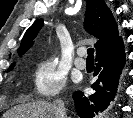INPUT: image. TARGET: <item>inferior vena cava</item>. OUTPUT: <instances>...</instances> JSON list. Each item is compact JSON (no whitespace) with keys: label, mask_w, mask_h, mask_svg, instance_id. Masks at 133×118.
<instances>
[{"label":"inferior vena cava","mask_w":133,"mask_h":118,"mask_svg":"<svg viewBox=\"0 0 133 118\" xmlns=\"http://www.w3.org/2000/svg\"><path fill=\"white\" fill-rule=\"evenodd\" d=\"M53 107L56 112L57 118H67L63 101L61 100L54 101Z\"/></svg>","instance_id":"obj_1"}]
</instances>
